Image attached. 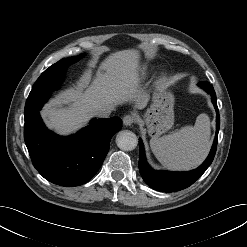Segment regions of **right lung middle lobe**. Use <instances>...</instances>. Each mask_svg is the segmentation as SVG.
Segmentation results:
<instances>
[{
    "mask_svg": "<svg viewBox=\"0 0 247 247\" xmlns=\"http://www.w3.org/2000/svg\"><path fill=\"white\" fill-rule=\"evenodd\" d=\"M82 56L83 54L65 58L50 66L33 85L29 98L39 99L47 96L50 91L58 89L64 79L68 66L77 62Z\"/></svg>",
    "mask_w": 247,
    "mask_h": 247,
    "instance_id": "obj_1",
    "label": "right lung middle lobe"
}]
</instances>
